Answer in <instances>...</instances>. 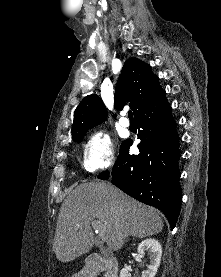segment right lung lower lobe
<instances>
[{
    "label": "right lung lower lobe",
    "mask_w": 221,
    "mask_h": 277,
    "mask_svg": "<svg viewBox=\"0 0 221 277\" xmlns=\"http://www.w3.org/2000/svg\"><path fill=\"white\" fill-rule=\"evenodd\" d=\"M139 155H130L132 140L120 146L113 168L112 183L122 191L147 205L160 209L171 229L175 227L181 208L179 136L171 107L163 90L136 115ZM98 178L108 179L109 172Z\"/></svg>",
    "instance_id": "98d812e1"
}]
</instances>
